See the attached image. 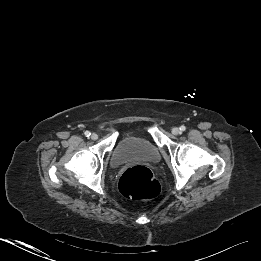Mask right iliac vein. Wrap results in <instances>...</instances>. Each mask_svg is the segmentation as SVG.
I'll use <instances>...</instances> for the list:
<instances>
[{
	"instance_id": "63e3f726",
	"label": "right iliac vein",
	"mask_w": 261,
	"mask_h": 261,
	"mask_svg": "<svg viewBox=\"0 0 261 261\" xmlns=\"http://www.w3.org/2000/svg\"><path fill=\"white\" fill-rule=\"evenodd\" d=\"M91 139L92 140H97L98 139V135L96 133H92L91 134Z\"/></svg>"
}]
</instances>
